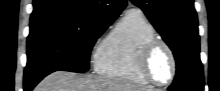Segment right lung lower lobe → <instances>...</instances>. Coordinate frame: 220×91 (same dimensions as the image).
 I'll use <instances>...</instances> for the list:
<instances>
[{"label": "right lung lower lobe", "instance_id": "obj_1", "mask_svg": "<svg viewBox=\"0 0 220 91\" xmlns=\"http://www.w3.org/2000/svg\"><path fill=\"white\" fill-rule=\"evenodd\" d=\"M41 79L42 78H38L35 80H31V81H24V90L31 91Z\"/></svg>", "mask_w": 220, "mask_h": 91}]
</instances>
